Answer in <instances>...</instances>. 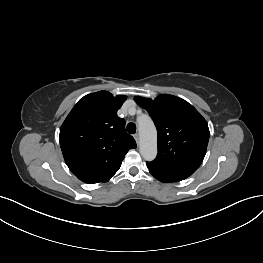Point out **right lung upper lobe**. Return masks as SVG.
<instances>
[{"label":"right lung upper lobe","mask_w":263,"mask_h":263,"mask_svg":"<svg viewBox=\"0 0 263 263\" xmlns=\"http://www.w3.org/2000/svg\"><path fill=\"white\" fill-rule=\"evenodd\" d=\"M126 96L99 91L81 98L60 129V146L71 172L83 182L108 181L120 168L126 153L136 148L117 116Z\"/></svg>","instance_id":"obj_1"}]
</instances>
